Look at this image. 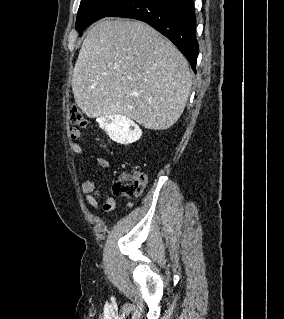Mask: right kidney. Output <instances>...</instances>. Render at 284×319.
Returning a JSON list of instances; mask_svg holds the SVG:
<instances>
[{
	"label": "right kidney",
	"mask_w": 284,
	"mask_h": 319,
	"mask_svg": "<svg viewBox=\"0 0 284 319\" xmlns=\"http://www.w3.org/2000/svg\"><path fill=\"white\" fill-rule=\"evenodd\" d=\"M100 126L105 129L109 137L121 144H131L142 136V130L130 118L122 115L101 118Z\"/></svg>",
	"instance_id": "1"
}]
</instances>
